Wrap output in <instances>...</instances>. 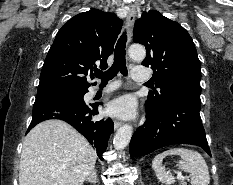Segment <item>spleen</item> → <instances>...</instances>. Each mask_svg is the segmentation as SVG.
Here are the masks:
<instances>
[{
	"mask_svg": "<svg viewBox=\"0 0 233 185\" xmlns=\"http://www.w3.org/2000/svg\"><path fill=\"white\" fill-rule=\"evenodd\" d=\"M168 155H179V167L191 174L192 185H209L210 175L208 166L202 155L194 150L186 148H171L157 156L152 161V168L157 178L165 185H170L175 182L174 177L167 173L162 165L163 159Z\"/></svg>",
	"mask_w": 233,
	"mask_h": 185,
	"instance_id": "1",
	"label": "spleen"
}]
</instances>
